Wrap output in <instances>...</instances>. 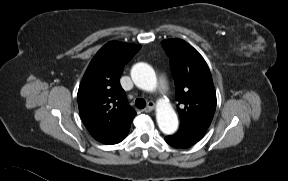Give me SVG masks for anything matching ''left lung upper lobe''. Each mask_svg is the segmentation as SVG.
<instances>
[{"instance_id": "1", "label": "left lung upper lobe", "mask_w": 288, "mask_h": 181, "mask_svg": "<svg viewBox=\"0 0 288 181\" xmlns=\"http://www.w3.org/2000/svg\"><path fill=\"white\" fill-rule=\"evenodd\" d=\"M161 44L170 58L175 81L181 119L179 130L206 132L216 108V93L208 65L197 50L181 39H167Z\"/></svg>"}]
</instances>
